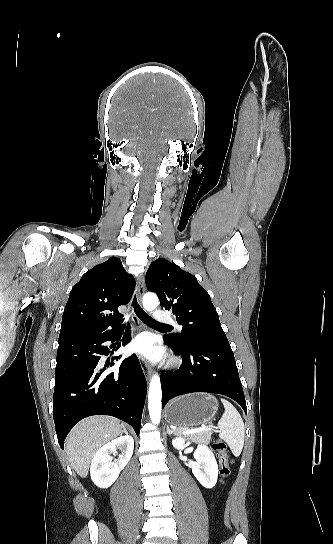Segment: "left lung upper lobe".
<instances>
[{
  "instance_id": "1",
  "label": "left lung upper lobe",
  "mask_w": 333,
  "mask_h": 544,
  "mask_svg": "<svg viewBox=\"0 0 333 544\" xmlns=\"http://www.w3.org/2000/svg\"><path fill=\"white\" fill-rule=\"evenodd\" d=\"M146 285L157 294L162 308H172L182 326L181 333L164 335L174 345L188 347L201 341L229 344L211 298L195 276L159 258L150 264Z\"/></svg>"
}]
</instances>
